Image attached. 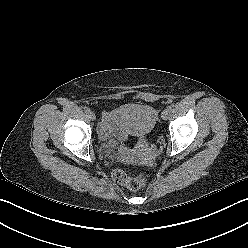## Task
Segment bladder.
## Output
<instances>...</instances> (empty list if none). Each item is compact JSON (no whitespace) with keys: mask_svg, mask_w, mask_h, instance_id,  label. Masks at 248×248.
<instances>
[{"mask_svg":"<svg viewBox=\"0 0 248 248\" xmlns=\"http://www.w3.org/2000/svg\"><path fill=\"white\" fill-rule=\"evenodd\" d=\"M120 123L131 135L142 138L149 135L157 122L155 110L146 104H125L115 110ZM106 149H111L106 147Z\"/></svg>","mask_w":248,"mask_h":248,"instance_id":"1","label":"bladder"}]
</instances>
